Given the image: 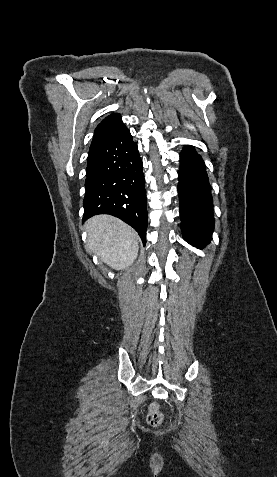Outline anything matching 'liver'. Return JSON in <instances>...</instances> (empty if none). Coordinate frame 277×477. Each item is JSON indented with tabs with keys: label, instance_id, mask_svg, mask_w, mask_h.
<instances>
[{
	"label": "liver",
	"instance_id": "6515ba94",
	"mask_svg": "<svg viewBox=\"0 0 277 477\" xmlns=\"http://www.w3.org/2000/svg\"><path fill=\"white\" fill-rule=\"evenodd\" d=\"M87 246L116 270L133 264L138 255V235L126 223L110 215H96L85 223Z\"/></svg>",
	"mask_w": 277,
	"mask_h": 477
}]
</instances>
